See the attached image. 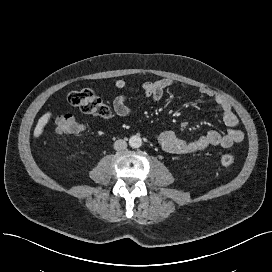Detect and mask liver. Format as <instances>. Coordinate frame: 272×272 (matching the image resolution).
<instances>
[{"label":"liver","mask_w":272,"mask_h":272,"mask_svg":"<svg viewBox=\"0 0 272 272\" xmlns=\"http://www.w3.org/2000/svg\"><path fill=\"white\" fill-rule=\"evenodd\" d=\"M51 116H52V113L47 112L42 117H40V119L38 120L37 125L34 129V133H33L35 138H38L41 136V134L43 133L44 127L49 122Z\"/></svg>","instance_id":"liver-1"}]
</instances>
